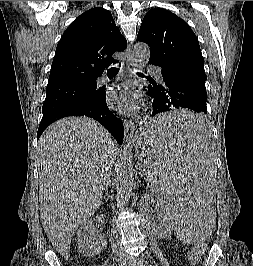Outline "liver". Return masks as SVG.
<instances>
[{
  "instance_id": "liver-1",
  "label": "liver",
  "mask_w": 253,
  "mask_h": 266,
  "mask_svg": "<svg viewBox=\"0 0 253 266\" xmlns=\"http://www.w3.org/2000/svg\"><path fill=\"white\" fill-rule=\"evenodd\" d=\"M119 150L108 131L87 117L58 120L40 137V217L61 255L68 256L73 234L99 208Z\"/></svg>"
}]
</instances>
